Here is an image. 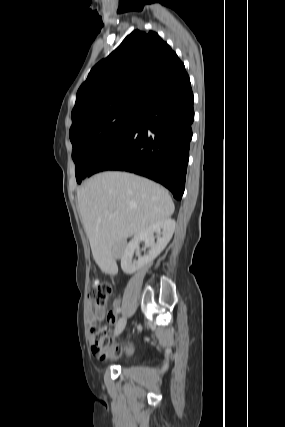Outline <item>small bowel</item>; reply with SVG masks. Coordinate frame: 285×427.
Returning a JSON list of instances; mask_svg holds the SVG:
<instances>
[{"label": "small bowel", "instance_id": "1", "mask_svg": "<svg viewBox=\"0 0 285 427\" xmlns=\"http://www.w3.org/2000/svg\"><path fill=\"white\" fill-rule=\"evenodd\" d=\"M120 308V302L119 300H115L112 304V311L109 312L108 314H106V309L105 306L103 304H97V303H89V308H88V323L90 326H93L99 322H102L105 318L107 319V321L114 325L117 323L118 321V311ZM93 349V348H92ZM120 351V346L119 345H114L111 347L110 352H111V356L110 357H114L116 356ZM93 353L96 356H100L98 353L94 352Z\"/></svg>", "mask_w": 285, "mask_h": 427}]
</instances>
